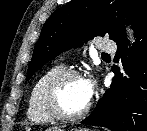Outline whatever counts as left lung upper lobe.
Wrapping results in <instances>:
<instances>
[{"label":"left lung upper lobe","instance_id":"5c2ea615","mask_svg":"<svg viewBox=\"0 0 147 131\" xmlns=\"http://www.w3.org/2000/svg\"><path fill=\"white\" fill-rule=\"evenodd\" d=\"M114 14L119 18L110 20ZM122 19L136 35L147 24V0H72L60 7L43 25L26 81L60 53L81 46L82 41L105 35L116 43L127 40Z\"/></svg>","mask_w":147,"mask_h":131}]
</instances>
